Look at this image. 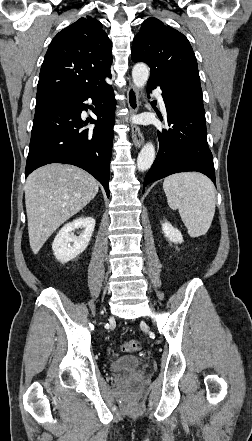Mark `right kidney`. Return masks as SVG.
<instances>
[{"label": "right kidney", "mask_w": 252, "mask_h": 441, "mask_svg": "<svg viewBox=\"0 0 252 441\" xmlns=\"http://www.w3.org/2000/svg\"><path fill=\"white\" fill-rule=\"evenodd\" d=\"M83 229L79 236L75 229ZM95 228V220L91 217L78 218L65 224L57 233L52 249L55 258L61 263H67L80 255L88 246Z\"/></svg>", "instance_id": "1"}]
</instances>
